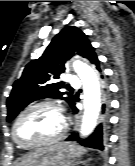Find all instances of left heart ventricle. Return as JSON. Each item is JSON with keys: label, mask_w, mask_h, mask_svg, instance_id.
<instances>
[{"label": "left heart ventricle", "mask_w": 135, "mask_h": 166, "mask_svg": "<svg viewBox=\"0 0 135 166\" xmlns=\"http://www.w3.org/2000/svg\"><path fill=\"white\" fill-rule=\"evenodd\" d=\"M62 127L60 113L50 107H40L27 112L19 121L17 138L25 144L49 140L57 136Z\"/></svg>", "instance_id": "1"}]
</instances>
